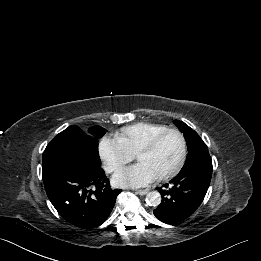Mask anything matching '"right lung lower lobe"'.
I'll list each match as a JSON object with an SVG mask.
<instances>
[{"instance_id": "obj_1", "label": "right lung lower lobe", "mask_w": 261, "mask_h": 261, "mask_svg": "<svg viewBox=\"0 0 261 261\" xmlns=\"http://www.w3.org/2000/svg\"><path fill=\"white\" fill-rule=\"evenodd\" d=\"M47 196L71 224L90 229L111 213L121 190H112L101 164L92 160L81 139H76L67 161L51 171L43 169Z\"/></svg>"}]
</instances>
